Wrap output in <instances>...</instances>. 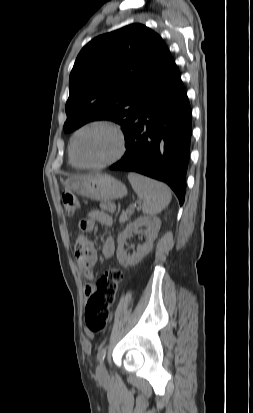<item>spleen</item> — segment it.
Returning a JSON list of instances; mask_svg holds the SVG:
<instances>
[{"label":"spleen","mask_w":253,"mask_h":413,"mask_svg":"<svg viewBox=\"0 0 253 413\" xmlns=\"http://www.w3.org/2000/svg\"><path fill=\"white\" fill-rule=\"evenodd\" d=\"M128 180L143 202L144 214L156 215L170 203L171 192L165 184L134 172L128 174Z\"/></svg>","instance_id":"spleen-1"}]
</instances>
